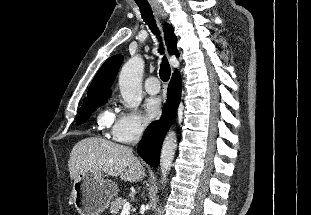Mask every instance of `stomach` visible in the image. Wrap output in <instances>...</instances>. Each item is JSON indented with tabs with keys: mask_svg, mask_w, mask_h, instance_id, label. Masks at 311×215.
I'll return each instance as SVG.
<instances>
[{
	"mask_svg": "<svg viewBox=\"0 0 311 215\" xmlns=\"http://www.w3.org/2000/svg\"><path fill=\"white\" fill-rule=\"evenodd\" d=\"M117 185L101 172L82 171L73 183L72 198L81 215H100L117 195Z\"/></svg>",
	"mask_w": 311,
	"mask_h": 215,
	"instance_id": "1",
	"label": "stomach"
}]
</instances>
